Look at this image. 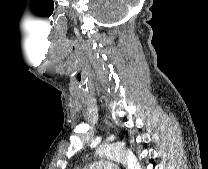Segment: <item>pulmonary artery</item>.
<instances>
[{
    "label": "pulmonary artery",
    "instance_id": "e3ab8cb5",
    "mask_svg": "<svg viewBox=\"0 0 208 169\" xmlns=\"http://www.w3.org/2000/svg\"><path fill=\"white\" fill-rule=\"evenodd\" d=\"M83 169H119L117 165L114 164L113 160L108 158H101L94 163L85 166Z\"/></svg>",
    "mask_w": 208,
    "mask_h": 169
}]
</instances>
